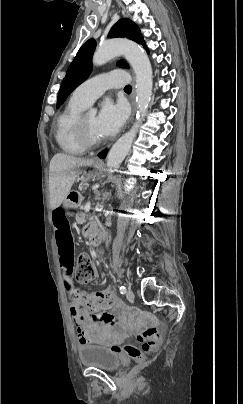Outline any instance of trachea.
Wrapping results in <instances>:
<instances>
[{
	"mask_svg": "<svg viewBox=\"0 0 243 404\" xmlns=\"http://www.w3.org/2000/svg\"><path fill=\"white\" fill-rule=\"evenodd\" d=\"M124 90H127V91H132V87H131V85H126V87L124 88Z\"/></svg>",
	"mask_w": 243,
	"mask_h": 404,
	"instance_id": "1",
	"label": "trachea"
}]
</instances>
